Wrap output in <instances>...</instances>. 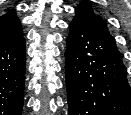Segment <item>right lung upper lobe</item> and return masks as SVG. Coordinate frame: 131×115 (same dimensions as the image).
<instances>
[{"instance_id": "obj_1", "label": "right lung upper lobe", "mask_w": 131, "mask_h": 115, "mask_svg": "<svg viewBox=\"0 0 131 115\" xmlns=\"http://www.w3.org/2000/svg\"><path fill=\"white\" fill-rule=\"evenodd\" d=\"M22 35V27L14 10L0 17V46L14 43Z\"/></svg>"}]
</instances>
